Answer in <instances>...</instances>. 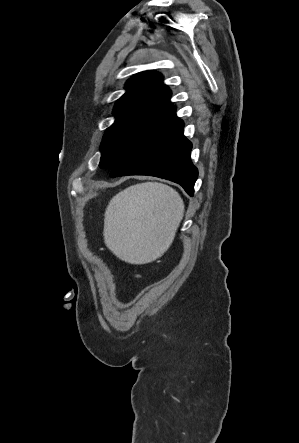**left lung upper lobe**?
I'll list each match as a JSON object with an SVG mask.
<instances>
[{
  "instance_id": "left-lung-upper-lobe-1",
  "label": "left lung upper lobe",
  "mask_w": 299,
  "mask_h": 443,
  "mask_svg": "<svg viewBox=\"0 0 299 443\" xmlns=\"http://www.w3.org/2000/svg\"><path fill=\"white\" fill-rule=\"evenodd\" d=\"M162 81V75L155 71L140 72L127 81V91L114 107L115 122L101 142L100 168L111 169L173 107L171 91Z\"/></svg>"
}]
</instances>
